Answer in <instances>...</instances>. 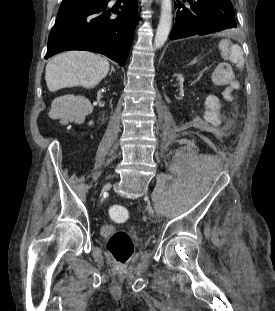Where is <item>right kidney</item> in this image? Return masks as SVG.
Returning a JSON list of instances; mask_svg holds the SVG:
<instances>
[{
  "label": "right kidney",
  "instance_id": "obj_1",
  "mask_svg": "<svg viewBox=\"0 0 275 311\" xmlns=\"http://www.w3.org/2000/svg\"><path fill=\"white\" fill-rule=\"evenodd\" d=\"M113 96H114L113 90H107L106 87H99L95 100L96 104H99L101 108H104L106 106L105 97H113Z\"/></svg>",
  "mask_w": 275,
  "mask_h": 311
}]
</instances>
